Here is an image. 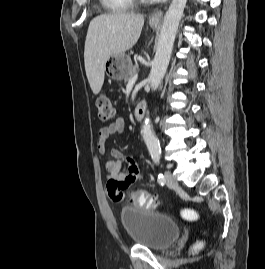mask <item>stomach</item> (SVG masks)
Listing matches in <instances>:
<instances>
[{
	"label": "stomach",
	"instance_id": "0dacf381",
	"mask_svg": "<svg viewBox=\"0 0 265 269\" xmlns=\"http://www.w3.org/2000/svg\"><path fill=\"white\" fill-rule=\"evenodd\" d=\"M151 28H157V24H150ZM106 74L114 80H123L129 76L132 71V62L128 55H112L105 63Z\"/></svg>",
	"mask_w": 265,
	"mask_h": 269
}]
</instances>
